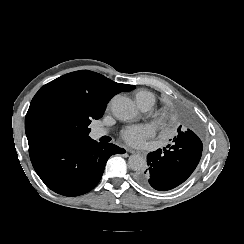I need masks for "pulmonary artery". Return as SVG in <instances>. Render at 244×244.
Here are the masks:
<instances>
[{
  "label": "pulmonary artery",
  "instance_id": "e3ab8cb5",
  "mask_svg": "<svg viewBox=\"0 0 244 244\" xmlns=\"http://www.w3.org/2000/svg\"><path fill=\"white\" fill-rule=\"evenodd\" d=\"M137 104L139 109L143 113H147L151 110V108L155 105V98L153 95L148 93H141L137 97ZM107 133L106 129L103 128H95L92 130L90 136L92 138H99Z\"/></svg>",
  "mask_w": 244,
  "mask_h": 244
}]
</instances>
